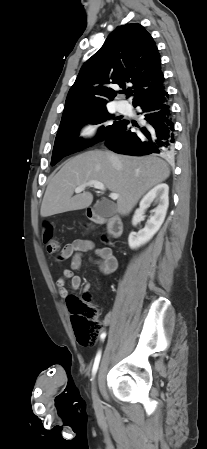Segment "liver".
Here are the masks:
<instances>
[{
  "instance_id": "obj_1",
  "label": "liver",
  "mask_w": 207,
  "mask_h": 449,
  "mask_svg": "<svg viewBox=\"0 0 207 449\" xmlns=\"http://www.w3.org/2000/svg\"><path fill=\"white\" fill-rule=\"evenodd\" d=\"M107 153L92 150L67 160L45 191L41 216L48 217L90 206L93 201L90 192L84 191L75 196L73 193L75 188L92 180L102 182L112 193L119 195L117 212L125 216L149 189L170 175L167 163L155 156L116 155L118 161L113 163Z\"/></svg>"
}]
</instances>
